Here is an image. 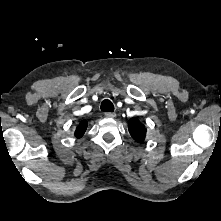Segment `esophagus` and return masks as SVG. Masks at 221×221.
<instances>
[{"label": "esophagus", "mask_w": 221, "mask_h": 221, "mask_svg": "<svg viewBox=\"0 0 221 221\" xmlns=\"http://www.w3.org/2000/svg\"><path fill=\"white\" fill-rule=\"evenodd\" d=\"M105 116H106L107 118H114V117L116 116V114H115L114 112H106V113H105Z\"/></svg>", "instance_id": "esophagus-1"}]
</instances>
